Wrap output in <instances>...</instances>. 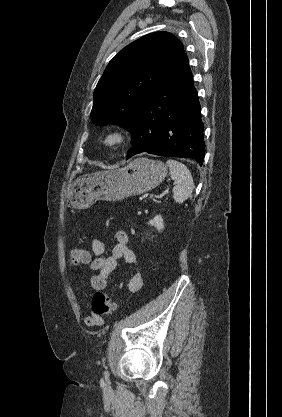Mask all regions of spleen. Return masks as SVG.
<instances>
[{
  "instance_id": "3e777b00",
  "label": "spleen",
  "mask_w": 282,
  "mask_h": 417,
  "mask_svg": "<svg viewBox=\"0 0 282 417\" xmlns=\"http://www.w3.org/2000/svg\"><path fill=\"white\" fill-rule=\"evenodd\" d=\"M167 166H169L171 178L176 180V186H173V198L175 202H184L186 198H189L194 182L192 178V174L182 162H178V160H166Z\"/></svg>"
}]
</instances>
